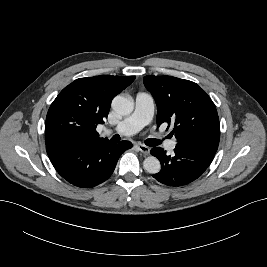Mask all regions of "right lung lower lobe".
I'll return each instance as SVG.
<instances>
[{"mask_svg": "<svg viewBox=\"0 0 267 267\" xmlns=\"http://www.w3.org/2000/svg\"><path fill=\"white\" fill-rule=\"evenodd\" d=\"M131 147L129 141L119 144L101 141L48 147L46 151L54 168L66 181L77 187L91 188L111 176L120 155Z\"/></svg>", "mask_w": 267, "mask_h": 267, "instance_id": "right-lung-lower-lobe-1", "label": "right lung lower lobe"}]
</instances>
